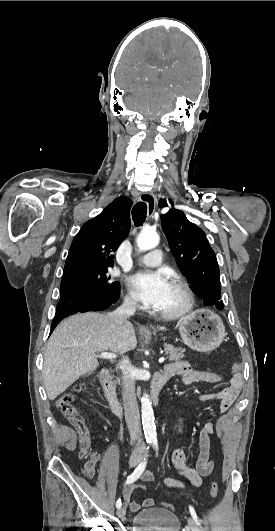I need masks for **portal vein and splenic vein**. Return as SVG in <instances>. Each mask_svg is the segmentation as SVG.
Listing matches in <instances>:
<instances>
[{"instance_id":"obj_1","label":"portal vein and splenic vein","mask_w":275,"mask_h":531,"mask_svg":"<svg viewBox=\"0 0 275 531\" xmlns=\"http://www.w3.org/2000/svg\"><path fill=\"white\" fill-rule=\"evenodd\" d=\"M99 357H101V359H116L117 355H115V353H101ZM163 361H165V359L164 357H161L159 363H163Z\"/></svg>"}]
</instances>
